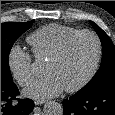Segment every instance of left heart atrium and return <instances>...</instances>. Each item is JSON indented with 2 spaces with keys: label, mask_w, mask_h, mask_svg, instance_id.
Segmentation results:
<instances>
[{
  "label": "left heart atrium",
  "mask_w": 115,
  "mask_h": 115,
  "mask_svg": "<svg viewBox=\"0 0 115 115\" xmlns=\"http://www.w3.org/2000/svg\"><path fill=\"white\" fill-rule=\"evenodd\" d=\"M64 89L63 84L54 75L47 74L31 83L24 94L34 99H44L57 96Z\"/></svg>",
  "instance_id": "39dd6f15"
}]
</instances>
